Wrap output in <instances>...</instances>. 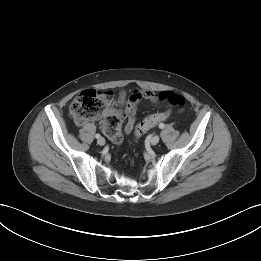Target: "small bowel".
Returning a JSON list of instances; mask_svg holds the SVG:
<instances>
[{
	"label": "small bowel",
	"instance_id": "small-bowel-1",
	"mask_svg": "<svg viewBox=\"0 0 261 261\" xmlns=\"http://www.w3.org/2000/svg\"><path fill=\"white\" fill-rule=\"evenodd\" d=\"M142 100H148L152 103L160 101L159 95L151 91L136 89L129 96L122 91L117 95L116 107L110 106L106 108L103 116L105 118L112 116L121 118L122 121H125L123 132L129 134L134 128L137 104Z\"/></svg>",
	"mask_w": 261,
	"mask_h": 261
}]
</instances>
